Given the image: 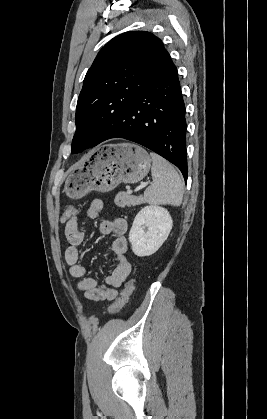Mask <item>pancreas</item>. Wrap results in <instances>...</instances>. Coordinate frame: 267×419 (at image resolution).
<instances>
[{
    "label": "pancreas",
    "mask_w": 267,
    "mask_h": 419,
    "mask_svg": "<svg viewBox=\"0 0 267 419\" xmlns=\"http://www.w3.org/2000/svg\"><path fill=\"white\" fill-rule=\"evenodd\" d=\"M115 204L118 207H132V206H137V205H141L144 203V200L141 196H132L129 195L128 193L125 192H119L115 199H114Z\"/></svg>",
    "instance_id": "1"
}]
</instances>
